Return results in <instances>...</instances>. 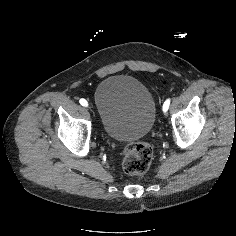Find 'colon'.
I'll return each mask as SVG.
<instances>
[{
  "label": "colon",
  "instance_id": "obj_1",
  "mask_svg": "<svg viewBox=\"0 0 236 236\" xmlns=\"http://www.w3.org/2000/svg\"><path fill=\"white\" fill-rule=\"evenodd\" d=\"M153 149L144 142H132L124 149L122 168L128 176L145 173L153 161Z\"/></svg>",
  "mask_w": 236,
  "mask_h": 236
}]
</instances>
